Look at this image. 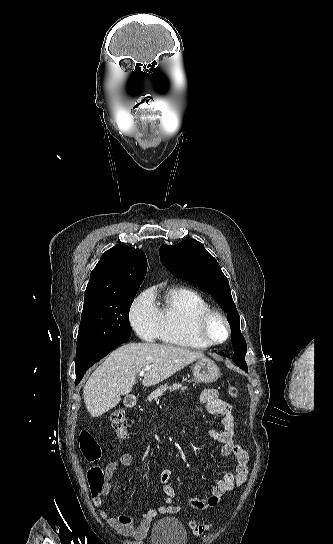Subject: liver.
Here are the masks:
<instances>
[{
	"label": "liver",
	"mask_w": 333,
	"mask_h": 544,
	"mask_svg": "<svg viewBox=\"0 0 333 544\" xmlns=\"http://www.w3.org/2000/svg\"><path fill=\"white\" fill-rule=\"evenodd\" d=\"M205 358L201 352L154 343H129L106 358L91 374L84 389V403L91 417H99L114 408L122 395L131 392L136 375L147 368L144 386H153L169 378L192 362Z\"/></svg>",
	"instance_id": "obj_1"
}]
</instances>
